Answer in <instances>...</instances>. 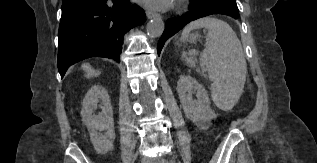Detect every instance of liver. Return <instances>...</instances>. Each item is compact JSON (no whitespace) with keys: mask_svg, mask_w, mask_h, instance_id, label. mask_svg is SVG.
Here are the masks:
<instances>
[{"mask_svg":"<svg viewBox=\"0 0 317 163\" xmlns=\"http://www.w3.org/2000/svg\"><path fill=\"white\" fill-rule=\"evenodd\" d=\"M82 69L85 71V76L87 78L96 77L100 74L98 70H94L89 64H83Z\"/></svg>","mask_w":317,"mask_h":163,"instance_id":"liver-1","label":"liver"}]
</instances>
